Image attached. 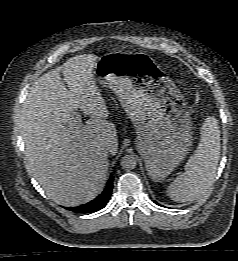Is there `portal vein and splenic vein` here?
I'll use <instances>...</instances> for the list:
<instances>
[{
	"label": "portal vein and splenic vein",
	"instance_id": "18ae733b",
	"mask_svg": "<svg viewBox=\"0 0 238 261\" xmlns=\"http://www.w3.org/2000/svg\"><path fill=\"white\" fill-rule=\"evenodd\" d=\"M81 124V115L78 114L77 117L73 120V123H71L72 126H79Z\"/></svg>",
	"mask_w": 238,
	"mask_h": 261
}]
</instances>
